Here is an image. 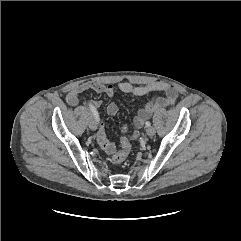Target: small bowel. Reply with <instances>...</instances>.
Wrapping results in <instances>:
<instances>
[{"label": "small bowel", "instance_id": "c3829d8e", "mask_svg": "<svg viewBox=\"0 0 241 241\" xmlns=\"http://www.w3.org/2000/svg\"><path fill=\"white\" fill-rule=\"evenodd\" d=\"M89 89H92L97 93L106 94L109 97H113L117 90L134 96H144L155 92L164 93V96L154 98L139 109L138 114L133 121L135 130L131 135V139H136L138 137L139 129L143 127L145 121L150 117L153 110L173 104L178 97L177 90L165 82H153L144 85H134L130 82H120L116 86L98 82H86L76 85L69 90L66 96L67 103L71 106H76L79 103L80 94ZM89 104H92L95 108H99L102 103L101 101H92L89 102ZM106 112L110 116L117 114V104L114 102L109 103L106 107ZM97 141L101 149L108 155H112L116 151L115 144L108 140L103 127H101L97 133Z\"/></svg>", "mask_w": 241, "mask_h": 241}]
</instances>
